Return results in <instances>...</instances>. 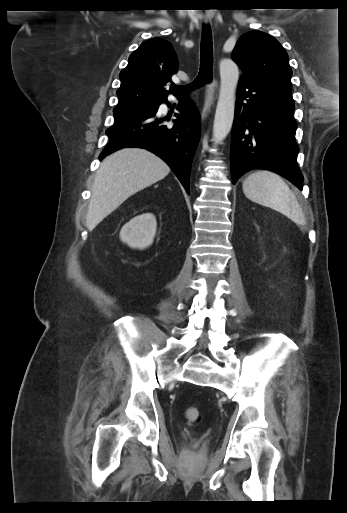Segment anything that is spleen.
Here are the masks:
<instances>
[{
  "instance_id": "obj_1",
  "label": "spleen",
  "mask_w": 347,
  "mask_h": 513,
  "mask_svg": "<svg viewBox=\"0 0 347 513\" xmlns=\"http://www.w3.org/2000/svg\"><path fill=\"white\" fill-rule=\"evenodd\" d=\"M242 188L251 201L270 207L297 224H304L305 217L300 204L278 174L267 170L253 172L243 181Z\"/></svg>"
}]
</instances>
